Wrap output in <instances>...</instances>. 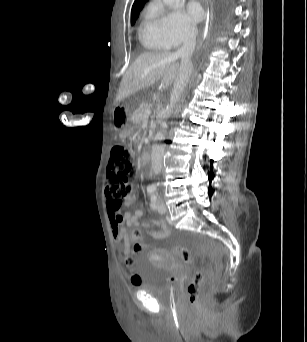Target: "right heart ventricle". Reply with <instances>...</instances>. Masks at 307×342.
Segmentation results:
<instances>
[{"mask_svg":"<svg viewBox=\"0 0 307 342\" xmlns=\"http://www.w3.org/2000/svg\"><path fill=\"white\" fill-rule=\"evenodd\" d=\"M139 42L143 51L147 54L157 53L166 48L162 42L145 33L139 34Z\"/></svg>","mask_w":307,"mask_h":342,"instance_id":"e07e8e85","label":"right heart ventricle"}]
</instances>
